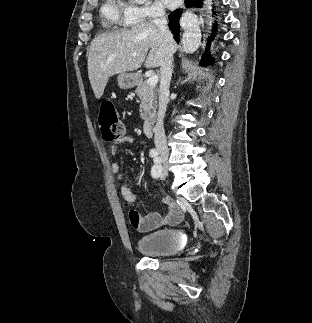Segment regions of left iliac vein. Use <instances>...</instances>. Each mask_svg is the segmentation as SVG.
<instances>
[{
    "instance_id": "obj_1",
    "label": "left iliac vein",
    "mask_w": 312,
    "mask_h": 323,
    "mask_svg": "<svg viewBox=\"0 0 312 323\" xmlns=\"http://www.w3.org/2000/svg\"><path fill=\"white\" fill-rule=\"evenodd\" d=\"M159 177L163 179L165 176L162 173H160Z\"/></svg>"
}]
</instances>
